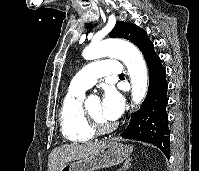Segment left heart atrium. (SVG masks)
I'll list each match as a JSON object with an SVG mask.
<instances>
[{
  "mask_svg": "<svg viewBox=\"0 0 199 171\" xmlns=\"http://www.w3.org/2000/svg\"><path fill=\"white\" fill-rule=\"evenodd\" d=\"M101 116L108 122H114L120 118L124 109L122 95L113 88H108L101 101Z\"/></svg>",
  "mask_w": 199,
  "mask_h": 171,
  "instance_id": "left-heart-atrium-1",
  "label": "left heart atrium"
}]
</instances>
